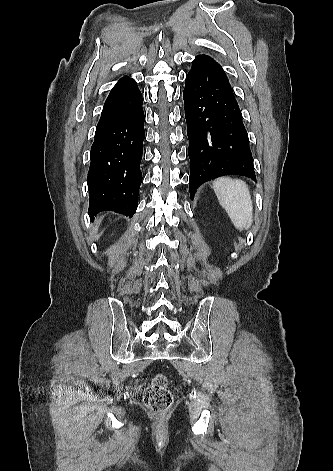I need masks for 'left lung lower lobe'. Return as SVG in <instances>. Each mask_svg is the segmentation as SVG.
I'll return each instance as SVG.
<instances>
[{"instance_id": "1", "label": "left lung lower lobe", "mask_w": 333, "mask_h": 471, "mask_svg": "<svg viewBox=\"0 0 333 471\" xmlns=\"http://www.w3.org/2000/svg\"><path fill=\"white\" fill-rule=\"evenodd\" d=\"M191 163L189 190L226 174L256 180L242 113L222 67L207 55L197 56L183 91Z\"/></svg>"}]
</instances>
